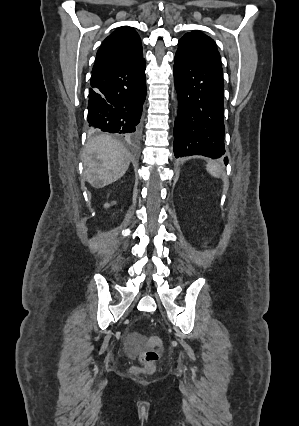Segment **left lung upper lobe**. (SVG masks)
Here are the masks:
<instances>
[{
  "mask_svg": "<svg viewBox=\"0 0 299 426\" xmlns=\"http://www.w3.org/2000/svg\"><path fill=\"white\" fill-rule=\"evenodd\" d=\"M178 49L188 55L205 60L213 69L222 75L220 54L216 43L204 33L194 30L186 33L178 42Z\"/></svg>",
  "mask_w": 299,
  "mask_h": 426,
  "instance_id": "obj_1",
  "label": "left lung upper lobe"
}]
</instances>
